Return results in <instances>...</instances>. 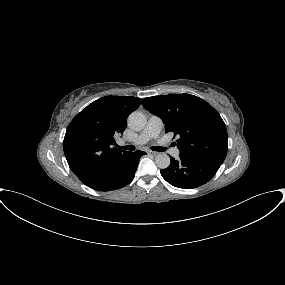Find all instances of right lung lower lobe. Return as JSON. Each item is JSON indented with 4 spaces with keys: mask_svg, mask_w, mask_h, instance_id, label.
<instances>
[{
    "mask_svg": "<svg viewBox=\"0 0 285 285\" xmlns=\"http://www.w3.org/2000/svg\"><path fill=\"white\" fill-rule=\"evenodd\" d=\"M144 154L146 153L143 151L130 152L109 170L90 177L83 183L98 191H111L122 188L133 180L138 162Z\"/></svg>",
    "mask_w": 285,
    "mask_h": 285,
    "instance_id": "right-lung-lower-lobe-1",
    "label": "right lung lower lobe"
}]
</instances>
